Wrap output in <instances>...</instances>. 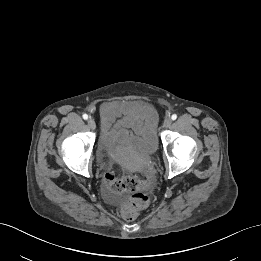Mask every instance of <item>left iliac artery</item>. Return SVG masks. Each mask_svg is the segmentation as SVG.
<instances>
[{
	"label": "left iliac artery",
	"mask_w": 261,
	"mask_h": 261,
	"mask_svg": "<svg viewBox=\"0 0 261 261\" xmlns=\"http://www.w3.org/2000/svg\"><path fill=\"white\" fill-rule=\"evenodd\" d=\"M171 119H172V120H176V119H177V115H176V114H173V115L171 116Z\"/></svg>",
	"instance_id": "44dca946"
}]
</instances>
